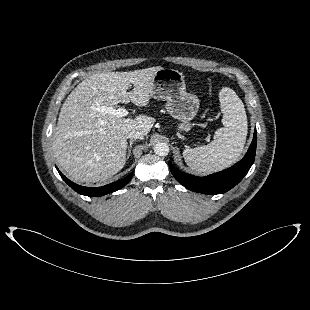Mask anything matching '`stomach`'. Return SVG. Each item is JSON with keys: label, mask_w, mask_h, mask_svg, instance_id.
Masks as SVG:
<instances>
[{"label": "stomach", "mask_w": 310, "mask_h": 310, "mask_svg": "<svg viewBox=\"0 0 310 310\" xmlns=\"http://www.w3.org/2000/svg\"><path fill=\"white\" fill-rule=\"evenodd\" d=\"M151 96L154 99L167 101V112L182 122L178 125L180 131L190 129L189 122L196 116L200 103L196 95L186 91L182 72L171 68H161L156 71Z\"/></svg>", "instance_id": "1"}]
</instances>
